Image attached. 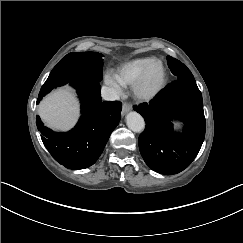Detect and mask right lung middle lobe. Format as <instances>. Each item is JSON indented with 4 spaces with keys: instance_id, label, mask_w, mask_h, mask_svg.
Listing matches in <instances>:
<instances>
[{
    "instance_id": "1",
    "label": "right lung middle lobe",
    "mask_w": 243,
    "mask_h": 243,
    "mask_svg": "<svg viewBox=\"0 0 243 243\" xmlns=\"http://www.w3.org/2000/svg\"><path fill=\"white\" fill-rule=\"evenodd\" d=\"M103 54L98 52L69 53L53 68L41 87L37 103L53 88L80 79L102 80Z\"/></svg>"
}]
</instances>
